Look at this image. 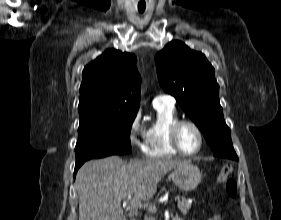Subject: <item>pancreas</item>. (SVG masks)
<instances>
[{"label":"pancreas","instance_id":"pancreas-1","mask_svg":"<svg viewBox=\"0 0 281 220\" xmlns=\"http://www.w3.org/2000/svg\"><path fill=\"white\" fill-rule=\"evenodd\" d=\"M178 208L183 214H186L191 208V203L185 197H182L178 202Z\"/></svg>","mask_w":281,"mask_h":220}]
</instances>
